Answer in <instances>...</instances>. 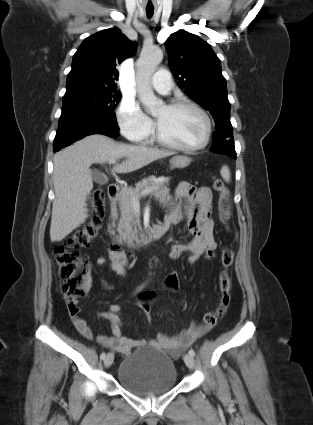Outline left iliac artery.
Listing matches in <instances>:
<instances>
[{"label":"left iliac artery","instance_id":"1","mask_svg":"<svg viewBox=\"0 0 313 425\" xmlns=\"http://www.w3.org/2000/svg\"><path fill=\"white\" fill-rule=\"evenodd\" d=\"M188 354H190L191 356H195V351L193 349H190Z\"/></svg>","mask_w":313,"mask_h":425}]
</instances>
